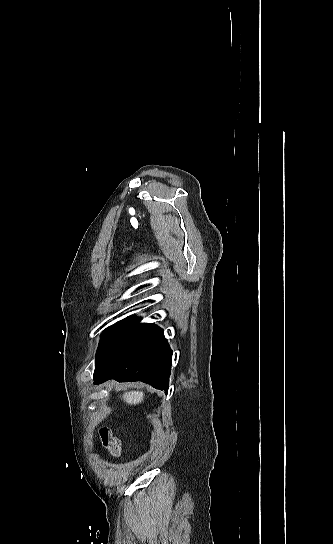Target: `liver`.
<instances>
[{
  "mask_svg": "<svg viewBox=\"0 0 333 544\" xmlns=\"http://www.w3.org/2000/svg\"><path fill=\"white\" fill-rule=\"evenodd\" d=\"M143 397H144L143 392L130 391V392L124 393L123 400L130 405L132 404L136 405L143 401Z\"/></svg>",
  "mask_w": 333,
  "mask_h": 544,
  "instance_id": "6515ba94",
  "label": "liver"
}]
</instances>
